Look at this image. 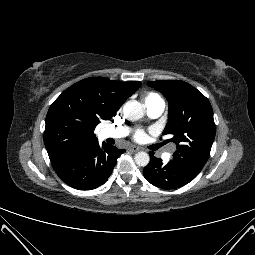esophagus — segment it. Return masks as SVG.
<instances>
[{"mask_svg":"<svg viewBox=\"0 0 255 255\" xmlns=\"http://www.w3.org/2000/svg\"><path fill=\"white\" fill-rule=\"evenodd\" d=\"M127 150H128V151H131V152H137V151H139L140 149H139L138 147L131 146V147H128Z\"/></svg>","mask_w":255,"mask_h":255,"instance_id":"1","label":"esophagus"}]
</instances>
